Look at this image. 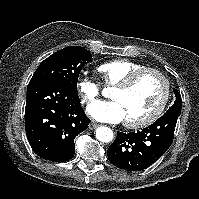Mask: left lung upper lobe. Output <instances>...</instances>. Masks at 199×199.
Wrapping results in <instances>:
<instances>
[{
  "instance_id": "obj_1",
  "label": "left lung upper lobe",
  "mask_w": 199,
  "mask_h": 199,
  "mask_svg": "<svg viewBox=\"0 0 199 199\" xmlns=\"http://www.w3.org/2000/svg\"><path fill=\"white\" fill-rule=\"evenodd\" d=\"M175 96H176V100L174 102V104L169 108L168 111H166L165 114H176V115H180L181 113V108H182V100H181V96L178 93L177 90H174Z\"/></svg>"
}]
</instances>
